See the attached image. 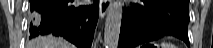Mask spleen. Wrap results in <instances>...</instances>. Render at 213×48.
Returning a JSON list of instances; mask_svg holds the SVG:
<instances>
[{
    "mask_svg": "<svg viewBox=\"0 0 213 48\" xmlns=\"http://www.w3.org/2000/svg\"><path fill=\"white\" fill-rule=\"evenodd\" d=\"M161 48H177V46L170 42H163L161 43Z\"/></svg>",
    "mask_w": 213,
    "mask_h": 48,
    "instance_id": "1",
    "label": "spleen"
}]
</instances>
